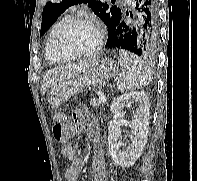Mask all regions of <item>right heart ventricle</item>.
I'll return each mask as SVG.
<instances>
[{
	"instance_id": "obj_1",
	"label": "right heart ventricle",
	"mask_w": 197,
	"mask_h": 181,
	"mask_svg": "<svg viewBox=\"0 0 197 181\" xmlns=\"http://www.w3.org/2000/svg\"><path fill=\"white\" fill-rule=\"evenodd\" d=\"M71 18V12H65L61 14L53 23L48 37L46 39L45 50H44V57L46 61L50 64H57L60 63L61 60L55 53V39L60 30V28Z\"/></svg>"
}]
</instances>
